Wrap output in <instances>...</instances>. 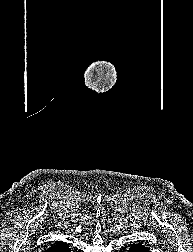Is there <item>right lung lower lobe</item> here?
Listing matches in <instances>:
<instances>
[{
	"mask_svg": "<svg viewBox=\"0 0 193 252\" xmlns=\"http://www.w3.org/2000/svg\"><path fill=\"white\" fill-rule=\"evenodd\" d=\"M45 252H71L67 245L63 242L55 243L53 246L48 248Z\"/></svg>",
	"mask_w": 193,
	"mask_h": 252,
	"instance_id": "right-lung-lower-lobe-1",
	"label": "right lung lower lobe"
}]
</instances>
